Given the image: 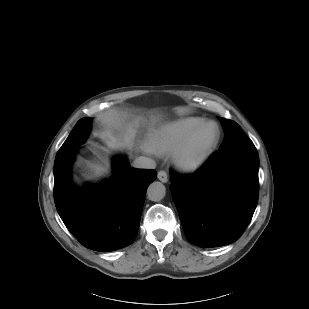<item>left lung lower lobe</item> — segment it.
<instances>
[{
  "label": "left lung lower lobe",
  "instance_id": "0a47b994",
  "mask_svg": "<svg viewBox=\"0 0 309 309\" xmlns=\"http://www.w3.org/2000/svg\"><path fill=\"white\" fill-rule=\"evenodd\" d=\"M254 144L218 151L195 174L171 172V192L187 239L200 247L235 242L258 202Z\"/></svg>",
  "mask_w": 309,
  "mask_h": 309
}]
</instances>
